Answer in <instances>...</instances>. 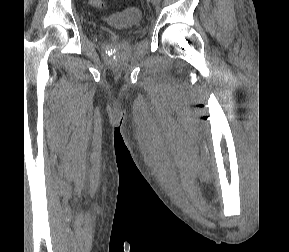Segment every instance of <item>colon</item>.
<instances>
[{"mask_svg":"<svg viewBox=\"0 0 289 252\" xmlns=\"http://www.w3.org/2000/svg\"><path fill=\"white\" fill-rule=\"evenodd\" d=\"M92 5L96 8L105 6L104 0H91ZM140 19V11L135 7H127L120 14L112 15L108 18L110 24L114 26H125L129 23H135Z\"/></svg>","mask_w":289,"mask_h":252,"instance_id":"obj_1","label":"colon"}]
</instances>
